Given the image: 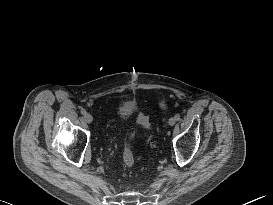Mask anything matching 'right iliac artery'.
Wrapping results in <instances>:
<instances>
[{
	"mask_svg": "<svg viewBox=\"0 0 273 205\" xmlns=\"http://www.w3.org/2000/svg\"><path fill=\"white\" fill-rule=\"evenodd\" d=\"M81 114L85 115L86 114V110L84 108H81Z\"/></svg>",
	"mask_w": 273,
	"mask_h": 205,
	"instance_id": "right-iliac-artery-1",
	"label": "right iliac artery"
}]
</instances>
